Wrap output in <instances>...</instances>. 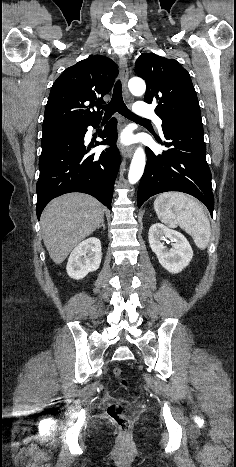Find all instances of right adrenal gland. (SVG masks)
Returning a JSON list of instances; mask_svg holds the SVG:
<instances>
[{"label": "right adrenal gland", "mask_w": 236, "mask_h": 467, "mask_svg": "<svg viewBox=\"0 0 236 467\" xmlns=\"http://www.w3.org/2000/svg\"><path fill=\"white\" fill-rule=\"evenodd\" d=\"M100 227H102V228H103V230H105V224H104V220L102 221L101 225H100L98 228H100Z\"/></svg>", "instance_id": "1"}]
</instances>
